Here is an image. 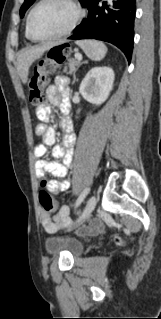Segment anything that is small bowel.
<instances>
[{
  "label": "small bowel",
  "instance_id": "c3829d8e",
  "mask_svg": "<svg viewBox=\"0 0 161 319\" xmlns=\"http://www.w3.org/2000/svg\"><path fill=\"white\" fill-rule=\"evenodd\" d=\"M70 94L71 91L66 78L64 76H58L54 83L49 85L46 90L49 104L38 107L36 111L37 118L41 123L35 127V132L42 136L43 142L34 147L33 153L37 159L35 163V173L39 178L44 176L45 173H50L57 178L53 180L50 185V190L55 196L67 190L70 186V179L67 177V166L72 162L73 147L76 142L72 122L67 116L70 111ZM52 106H59L62 113L59 119V125L63 132V145H55L56 132L54 128L45 125L51 116ZM51 145H54L52 156L54 158H63V163L45 158L47 152L46 146ZM70 213L71 210L68 205H62L53 216L51 212L43 210L41 214V225L46 232H55L71 224ZM98 227L99 223L94 222L90 229L95 230Z\"/></svg>",
  "mask_w": 161,
  "mask_h": 319
}]
</instances>
